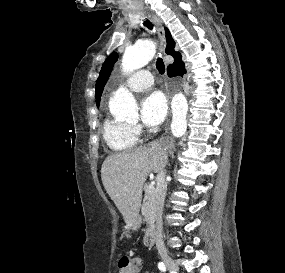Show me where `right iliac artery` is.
<instances>
[{"mask_svg":"<svg viewBox=\"0 0 285 273\" xmlns=\"http://www.w3.org/2000/svg\"><path fill=\"white\" fill-rule=\"evenodd\" d=\"M158 268L160 271L165 272L166 271V266L163 262L158 263Z\"/></svg>","mask_w":285,"mask_h":273,"instance_id":"right-iliac-artery-1","label":"right iliac artery"}]
</instances>
